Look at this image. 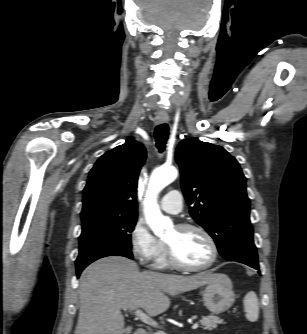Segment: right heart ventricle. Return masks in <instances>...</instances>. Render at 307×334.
<instances>
[{
  "label": "right heart ventricle",
  "instance_id": "e07e8e85",
  "mask_svg": "<svg viewBox=\"0 0 307 334\" xmlns=\"http://www.w3.org/2000/svg\"><path fill=\"white\" fill-rule=\"evenodd\" d=\"M155 265L158 268H167L170 266L164 246L159 255L155 259Z\"/></svg>",
  "mask_w": 307,
  "mask_h": 334
}]
</instances>
